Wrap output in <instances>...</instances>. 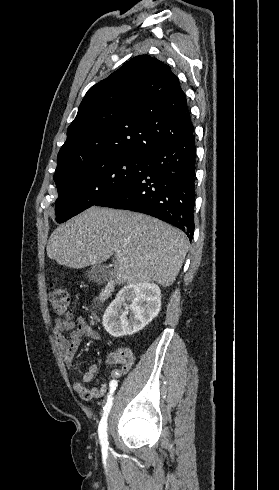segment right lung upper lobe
Returning a JSON list of instances; mask_svg holds the SVG:
<instances>
[{
    "label": "right lung upper lobe",
    "mask_w": 279,
    "mask_h": 490,
    "mask_svg": "<svg viewBox=\"0 0 279 490\" xmlns=\"http://www.w3.org/2000/svg\"><path fill=\"white\" fill-rule=\"evenodd\" d=\"M193 133L177 76L156 58L136 56L86 93L54 177L100 157L147 159Z\"/></svg>",
    "instance_id": "1"
}]
</instances>
